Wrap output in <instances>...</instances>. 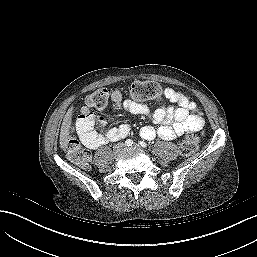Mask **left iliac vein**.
<instances>
[{"label":"left iliac vein","mask_w":257,"mask_h":257,"mask_svg":"<svg viewBox=\"0 0 257 257\" xmlns=\"http://www.w3.org/2000/svg\"><path fill=\"white\" fill-rule=\"evenodd\" d=\"M131 149H137V150H140V148L138 147V145H133L132 147L130 148H127V150H131Z\"/></svg>","instance_id":"left-iliac-vein-1"}]
</instances>
